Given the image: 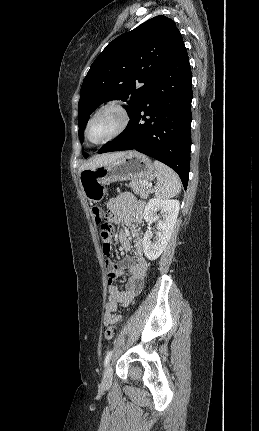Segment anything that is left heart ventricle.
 <instances>
[{"instance_id": "1", "label": "left heart ventricle", "mask_w": 259, "mask_h": 431, "mask_svg": "<svg viewBox=\"0 0 259 431\" xmlns=\"http://www.w3.org/2000/svg\"><path fill=\"white\" fill-rule=\"evenodd\" d=\"M119 123V116L115 111L108 110L101 113L89 128V138L92 142L102 140L111 134Z\"/></svg>"}]
</instances>
